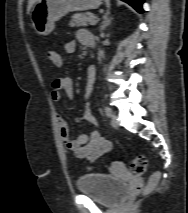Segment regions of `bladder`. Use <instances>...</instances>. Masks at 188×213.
<instances>
[{
    "label": "bladder",
    "instance_id": "1",
    "mask_svg": "<svg viewBox=\"0 0 188 213\" xmlns=\"http://www.w3.org/2000/svg\"><path fill=\"white\" fill-rule=\"evenodd\" d=\"M76 185L79 192L104 206L116 205L127 192L124 181L106 173L83 174L77 179Z\"/></svg>",
    "mask_w": 188,
    "mask_h": 213
}]
</instances>
